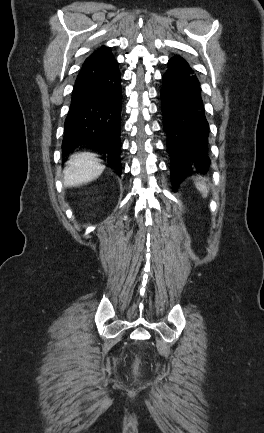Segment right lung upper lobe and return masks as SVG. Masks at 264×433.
<instances>
[{
	"label": "right lung upper lobe",
	"mask_w": 264,
	"mask_h": 433,
	"mask_svg": "<svg viewBox=\"0 0 264 433\" xmlns=\"http://www.w3.org/2000/svg\"><path fill=\"white\" fill-rule=\"evenodd\" d=\"M98 51H100L101 53H107V54H111L110 50L108 47L102 46L101 48L98 49ZM64 154V153H63ZM65 156V155H64Z\"/></svg>",
	"instance_id": "obj_1"
}]
</instances>
